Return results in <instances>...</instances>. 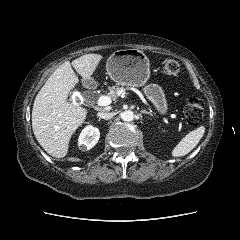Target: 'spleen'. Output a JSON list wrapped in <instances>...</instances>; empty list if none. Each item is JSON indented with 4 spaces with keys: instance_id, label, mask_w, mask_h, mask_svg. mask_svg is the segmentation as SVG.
<instances>
[{
    "instance_id": "spleen-1",
    "label": "spleen",
    "mask_w": 240,
    "mask_h": 240,
    "mask_svg": "<svg viewBox=\"0 0 240 240\" xmlns=\"http://www.w3.org/2000/svg\"><path fill=\"white\" fill-rule=\"evenodd\" d=\"M205 133V127L200 126L189 132L181 141L172 149L173 157H182L191 152L199 143Z\"/></svg>"
}]
</instances>
